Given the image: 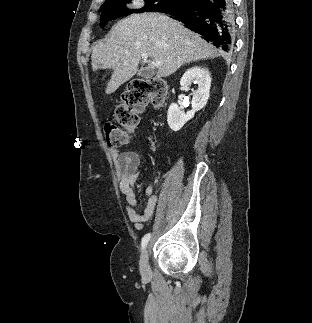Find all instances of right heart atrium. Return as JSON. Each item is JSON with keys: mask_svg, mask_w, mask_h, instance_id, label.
<instances>
[{"mask_svg": "<svg viewBox=\"0 0 312 323\" xmlns=\"http://www.w3.org/2000/svg\"><path fill=\"white\" fill-rule=\"evenodd\" d=\"M122 3H123L124 5H127V4L129 3V0H122ZM133 3H134L135 5H138V4L140 3V0H133Z\"/></svg>", "mask_w": 312, "mask_h": 323, "instance_id": "1", "label": "right heart atrium"}]
</instances>
